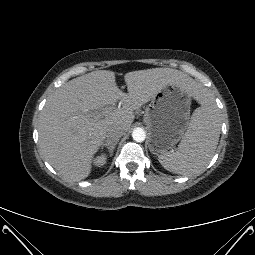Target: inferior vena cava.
I'll return each mask as SVG.
<instances>
[{"mask_svg": "<svg viewBox=\"0 0 255 255\" xmlns=\"http://www.w3.org/2000/svg\"><path fill=\"white\" fill-rule=\"evenodd\" d=\"M124 134V130L119 126L109 127L106 132L105 145L111 146L119 141Z\"/></svg>", "mask_w": 255, "mask_h": 255, "instance_id": "obj_1", "label": "inferior vena cava"}]
</instances>
